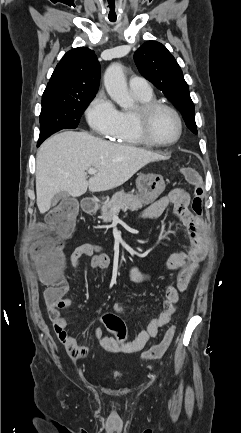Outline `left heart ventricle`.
I'll return each mask as SVG.
<instances>
[{
    "label": "left heart ventricle",
    "mask_w": 241,
    "mask_h": 433,
    "mask_svg": "<svg viewBox=\"0 0 241 433\" xmlns=\"http://www.w3.org/2000/svg\"><path fill=\"white\" fill-rule=\"evenodd\" d=\"M150 131L156 140L170 142L177 136V121L169 111L158 110L151 120Z\"/></svg>",
    "instance_id": "1"
}]
</instances>
